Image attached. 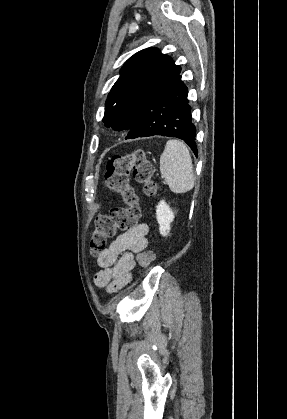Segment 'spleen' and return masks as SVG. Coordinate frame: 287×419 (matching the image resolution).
Returning a JSON list of instances; mask_svg holds the SVG:
<instances>
[{"mask_svg":"<svg viewBox=\"0 0 287 419\" xmlns=\"http://www.w3.org/2000/svg\"><path fill=\"white\" fill-rule=\"evenodd\" d=\"M160 172L170 190L186 193L194 187L192 158L186 145L179 140H168L160 156Z\"/></svg>","mask_w":287,"mask_h":419,"instance_id":"spleen-1","label":"spleen"}]
</instances>
